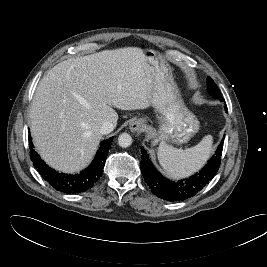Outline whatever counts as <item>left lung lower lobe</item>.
<instances>
[{"label": "left lung lower lobe", "instance_id": "1", "mask_svg": "<svg viewBox=\"0 0 267 267\" xmlns=\"http://www.w3.org/2000/svg\"><path fill=\"white\" fill-rule=\"evenodd\" d=\"M222 101V100H221ZM227 112V107H225ZM223 149V141L219 145L215 155L208 161L205 167L189 179L178 182L170 181L163 177L153 166L149 155L142 148L141 171L145 182L159 198L168 201H182L194 196L202 190L215 176L219 169L220 158Z\"/></svg>", "mask_w": 267, "mask_h": 267}]
</instances>
